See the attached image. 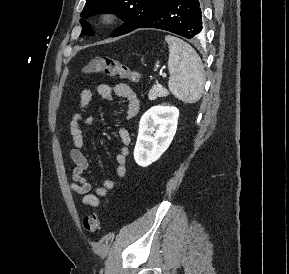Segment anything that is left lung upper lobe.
Returning a JSON list of instances; mask_svg holds the SVG:
<instances>
[{
  "mask_svg": "<svg viewBox=\"0 0 289 274\" xmlns=\"http://www.w3.org/2000/svg\"><path fill=\"white\" fill-rule=\"evenodd\" d=\"M165 0H86L81 17L88 18L97 13H115L125 21L112 33L113 37L135 30L148 19ZM81 35H93L91 25L81 19Z\"/></svg>",
  "mask_w": 289,
  "mask_h": 274,
  "instance_id": "1",
  "label": "left lung upper lobe"
}]
</instances>
